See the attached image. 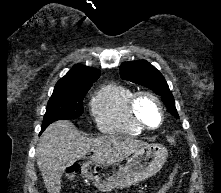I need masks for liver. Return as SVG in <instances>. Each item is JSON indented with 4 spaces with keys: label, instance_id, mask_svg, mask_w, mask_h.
<instances>
[{
    "label": "liver",
    "instance_id": "1",
    "mask_svg": "<svg viewBox=\"0 0 221 193\" xmlns=\"http://www.w3.org/2000/svg\"><path fill=\"white\" fill-rule=\"evenodd\" d=\"M147 143L127 136L83 135L69 121L60 120L49 125L36 148L37 165L48 193H60L61 178L67 166L83 159L98 165L117 164Z\"/></svg>",
    "mask_w": 221,
    "mask_h": 193
}]
</instances>
